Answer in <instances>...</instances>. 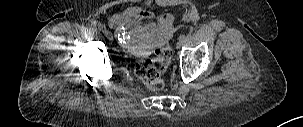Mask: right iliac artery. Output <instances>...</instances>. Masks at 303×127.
<instances>
[{
    "instance_id": "obj_1",
    "label": "right iliac artery",
    "mask_w": 303,
    "mask_h": 127,
    "mask_svg": "<svg viewBox=\"0 0 303 127\" xmlns=\"http://www.w3.org/2000/svg\"><path fill=\"white\" fill-rule=\"evenodd\" d=\"M94 26L96 27V28H98L100 31H102V32H105L106 31V28H105V26L104 25H102V24H100V23H98V22H94Z\"/></svg>"
}]
</instances>
